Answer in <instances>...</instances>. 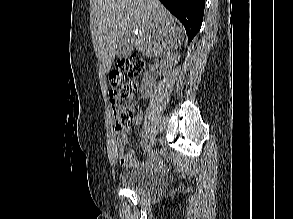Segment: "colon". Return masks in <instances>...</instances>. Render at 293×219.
<instances>
[{"mask_svg": "<svg viewBox=\"0 0 293 219\" xmlns=\"http://www.w3.org/2000/svg\"><path fill=\"white\" fill-rule=\"evenodd\" d=\"M143 68V59L138 55H131L119 60L116 68L109 73V93L117 115V128L120 130L127 129L135 122L136 80Z\"/></svg>", "mask_w": 293, "mask_h": 219, "instance_id": "5ec220e1", "label": "colon"}]
</instances>
